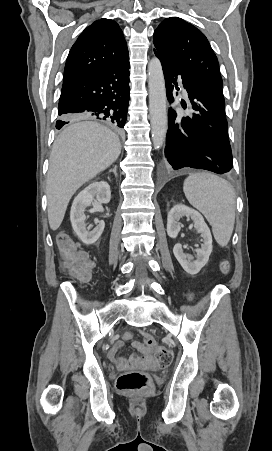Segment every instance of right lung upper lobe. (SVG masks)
Here are the masks:
<instances>
[{
	"label": "right lung upper lobe",
	"instance_id": "cb5924a9",
	"mask_svg": "<svg viewBox=\"0 0 272 451\" xmlns=\"http://www.w3.org/2000/svg\"><path fill=\"white\" fill-rule=\"evenodd\" d=\"M128 58L127 43L118 24L100 19L78 37L68 55L64 82L95 73Z\"/></svg>",
	"mask_w": 272,
	"mask_h": 451
}]
</instances>
